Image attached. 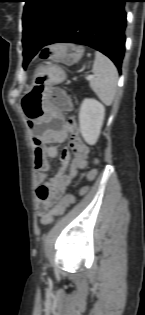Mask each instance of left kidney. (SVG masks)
I'll return each mask as SVG.
<instances>
[{
    "label": "left kidney",
    "instance_id": "left-kidney-1",
    "mask_svg": "<svg viewBox=\"0 0 145 315\" xmlns=\"http://www.w3.org/2000/svg\"><path fill=\"white\" fill-rule=\"evenodd\" d=\"M105 107L95 99H84L79 111L80 132L89 145H94L101 132Z\"/></svg>",
    "mask_w": 145,
    "mask_h": 315
}]
</instances>
